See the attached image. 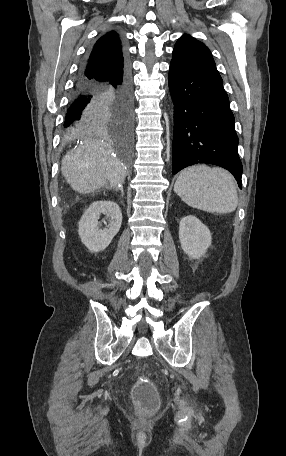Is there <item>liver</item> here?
I'll return each instance as SVG.
<instances>
[{"instance_id":"liver-1","label":"liver","mask_w":286,"mask_h":456,"mask_svg":"<svg viewBox=\"0 0 286 456\" xmlns=\"http://www.w3.org/2000/svg\"><path fill=\"white\" fill-rule=\"evenodd\" d=\"M113 150L99 140L68 152L62 159V175L72 189L88 194L105 185L119 189L126 176L125 166L112 156Z\"/></svg>"}]
</instances>
